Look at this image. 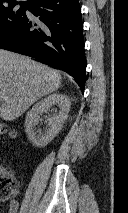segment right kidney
I'll use <instances>...</instances> for the list:
<instances>
[{"label":"right kidney","instance_id":"1","mask_svg":"<svg viewBox=\"0 0 128 213\" xmlns=\"http://www.w3.org/2000/svg\"><path fill=\"white\" fill-rule=\"evenodd\" d=\"M57 104L59 107V114L48 119L47 130L39 135L35 132V126L39 121V116L48 110L51 106ZM70 110V101L68 97L61 93H53L37 102L27 113L25 118V132L28 139L36 147H45L51 142L55 136L60 132L62 125L68 117Z\"/></svg>","mask_w":128,"mask_h":213}]
</instances>
